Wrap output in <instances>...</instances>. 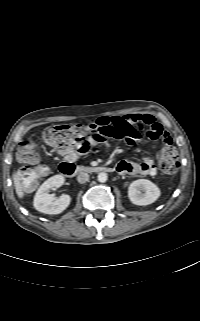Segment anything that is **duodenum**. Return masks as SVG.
<instances>
[{"mask_svg":"<svg viewBox=\"0 0 200 321\" xmlns=\"http://www.w3.org/2000/svg\"><path fill=\"white\" fill-rule=\"evenodd\" d=\"M114 168L104 165H93V166H76L70 162H64L60 164L59 171L62 175L71 177L77 173H100V172H112Z\"/></svg>","mask_w":200,"mask_h":321,"instance_id":"410a0bca","label":"duodenum"}]
</instances>
